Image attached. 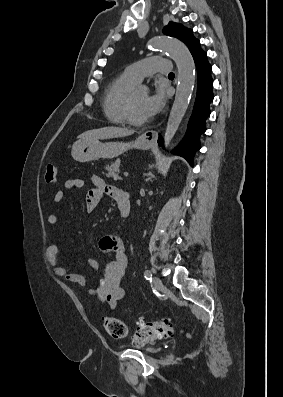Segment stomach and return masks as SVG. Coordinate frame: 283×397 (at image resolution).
I'll return each instance as SVG.
<instances>
[{"mask_svg": "<svg viewBox=\"0 0 283 397\" xmlns=\"http://www.w3.org/2000/svg\"><path fill=\"white\" fill-rule=\"evenodd\" d=\"M152 143L145 139L144 136H139L135 141L123 142H106L102 143L98 139L77 141L73 147L71 155L77 162H89L98 160L100 158H114L129 149H143L147 150Z\"/></svg>", "mask_w": 283, "mask_h": 397, "instance_id": "1", "label": "stomach"}]
</instances>
